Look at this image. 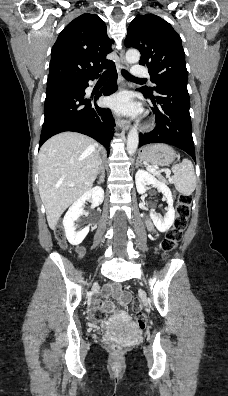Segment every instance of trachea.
<instances>
[{
    "label": "trachea",
    "mask_w": 228,
    "mask_h": 396,
    "mask_svg": "<svg viewBox=\"0 0 228 396\" xmlns=\"http://www.w3.org/2000/svg\"><path fill=\"white\" fill-rule=\"evenodd\" d=\"M102 76H109V73L108 72H104L103 74H102ZM122 76L125 78V79H127V80H131V81H146V79H139V78H136V77H134V76H132L129 72H127L126 70H122Z\"/></svg>",
    "instance_id": "3493384b"
}]
</instances>
